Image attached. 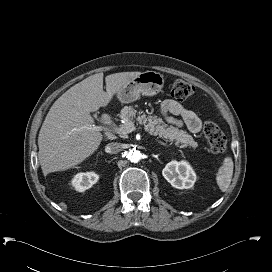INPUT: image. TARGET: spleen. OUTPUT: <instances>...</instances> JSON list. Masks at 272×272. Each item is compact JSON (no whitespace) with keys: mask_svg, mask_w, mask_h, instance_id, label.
Instances as JSON below:
<instances>
[{"mask_svg":"<svg viewBox=\"0 0 272 272\" xmlns=\"http://www.w3.org/2000/svg\"><path fill=\"white\" fill-rule=\"evenodd\" d=\"M233 161L231 157H226L223 165L219 168L216 180L221 191H226L229 187L233 175Z\"/></svg>","mask_w":272,"mask_h":272,"instance_id":"obj_1","label":"spleen"}]
</instances>
